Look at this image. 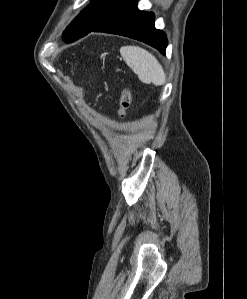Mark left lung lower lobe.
Here are the masks:
<instances>
[{
	"mask_svg": "<svg viewBox=\"0 0 247 299\" xmlns=\"http://www.w3.org/2000/svg\"><path fill=\"white\" fill-rule=\"evenodd\" d=\"M136 5L137 0H127L89 32H106L133 38L156 48L165 55L167 38L164 32L155 29L154 14L140 11Z\"/></svg>",
	"mask_w": 247,
	"mask_h": 299,
	"instance_id": "0a47b994",
	"label": "left lung lower lobe"
}]
</instances>
